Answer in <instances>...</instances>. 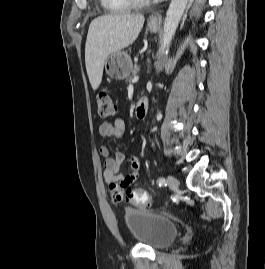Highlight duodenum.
I'll use <instances>...</instances> for the list:
<instances>
[{"label":"duodenum","instance_id":"410a0bca","mask_svg":"<svg viewBox=\"0 0 265 269\" xmlns=\"http://www.w3.org/2000/svg\"><path fill=\"white\" fill-rule=\"evenodd\" d=\"M149 103L147 98H140L136 104L135 114L137 118H143L147 114Z\"/></svg>","mask_w":265,"mask_h":269}]
</instances>
